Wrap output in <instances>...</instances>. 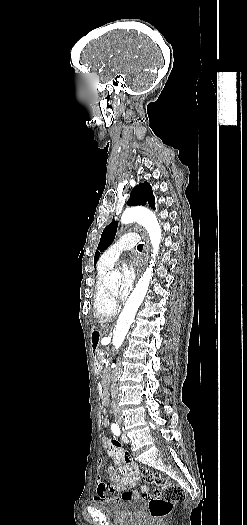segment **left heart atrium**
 Masks as SVG:
<instances>
[{"instance_id": "left-heart-atrium-1", "label": "left heart atrium", "mask_w": 247, "mask_h": 525, "mask_svg": "<svg viewBox=\"0 0 247 525\" xmlns=\"http://www.w3.org/2000/svg\"><path fill=\"white\" fill-rule=\"evenodd\" d=\"M130 260L139 270H143L147 265L142 264V254L137 252L130 253ZM122 275L123 282L117 292L120 299L125 298L132 289L135 280V270H123Z\"/></svg>"}]
</instances>
